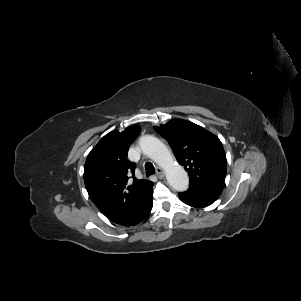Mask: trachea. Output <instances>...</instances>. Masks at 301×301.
<instances>
[{
  "instance_id": "3493384b",
  "label": "trachea",
  "mask_w": 301,
  "mask_h": 301,
  "mask_svg": "<svg viewBox=\"0 0 301 301\" xmlns=\"http://www.w3.org/2000/svg\"><path fill=\"white\" fill-rule=\"evenodd\" d=\"M145 170H146V176H150L155 173V168L150 162H147L145 164Z\"/></svg>"
}]
</instances>
